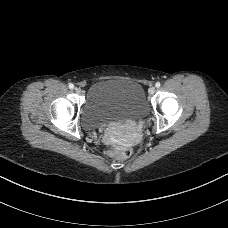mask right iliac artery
<instances>
[{"instance_id": "right-iliac-artery-1", "label": "right iliac artery", "mask_w": 228, "mask_h": 228, "mask_svg": "<svg viewBox=\"0 0 228 228\" xmlns=\"http://www.w3.org/2000/svg\"><path fill=\"white\" fill-rule=\"evenodd\" d=\"M69 88H70V89H73V88H74V85L70 83V84H69Z\"/></svg>"}]
</instances>
